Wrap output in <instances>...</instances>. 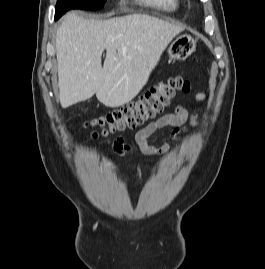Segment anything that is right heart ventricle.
<instances>
[{"label": "right heart ventricle", "instance_id": "1", "mask_svg": "<svg viewBox=\"0 0 265 269\" xmlns=\"http://www.w3.org/2000/svg\"><path fill=\"white\" fill-rule=\"evenodd\" d=\"M139 2L155 9L174 12L179 8V0H138Z\"/></svg>", "mask_w": 265, "mask_h": 269}]
</instances>
